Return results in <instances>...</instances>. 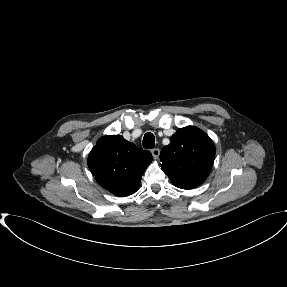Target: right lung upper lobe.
<instances>
[{
  "label": "right lung upper lobe",
  "instance_id": "cb5924a9",
  "mask_svg": "<svg viewBox=\"0 0 287 287\" xmlns=\"http://www.w3.org/2000/svg\"><path fill=\"white\" fill-rule=\"evenodd\" d=\"M152 161L149 151L138 148L120 135L98 140L88 157L96 181L112 194L125 197L139 189L141 177Z\"/></svg>",
  "mask_w": 287,
  "mask_h": 287
}]
</instances>
